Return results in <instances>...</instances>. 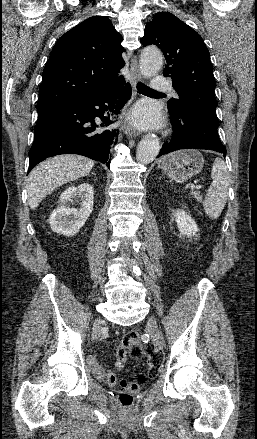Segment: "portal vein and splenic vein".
Wrapping results in <instances>:
<instances>
[{
    "mask_svg": "<svg viewBox=\"0 0 257 439\" xmlns=\"http://www.w3.org/2000/svg\"><path fill=\"white\" fill-rule=\"evenodd\" d=\"M201 188H202V186H200V185H198V186L191 185V189H192V190H193V189L199 190V189H201Z\"/></svg>",
    "mask_w": 257,
    "mask_h": 439,
    "instance_id": "18ae733b",
    "label": "portal vein and splenic vein"
}]
</instances>
